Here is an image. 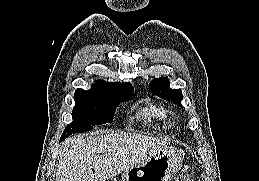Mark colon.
<instances>
[{
  "mask_svg": "<svg viewBox=\"0 0 259 181\" xmlns=\"http://www.w3.org/2000/svg\"><path fill=\"white\" fill-rule=\"evenodd\" d=\"M193 178V172L188 171L185 174L179 175L175 181H191Z\"/></svg>",
  "mask_w": 259,
  "mask_h": 181,
  "instance_id": "colon-1",
  "label": "colon"
}]
</instances>
